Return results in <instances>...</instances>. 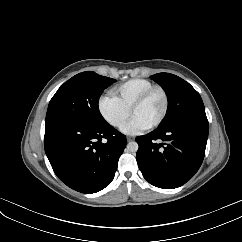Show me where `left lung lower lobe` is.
Segmentation results:
<instances>
[{
  "instance_id": "left-lung-lower-lobe-1",
  "label": "left lung lower lobe",
  "mask_w": 242,
  "mask_h": 242,
  "mask_svg": "<svg viewBox=\"0 0 242 242\" xmlns=\"http://www.w3.org/2000/svg\"><path fill=\"white\" fill-rule=\"evenodd\" d=\"M208 131L206 114H194L137 137L136 158L144 178L163 189L185 184L202 164Z\"/></svg>"
}]
</instances>
